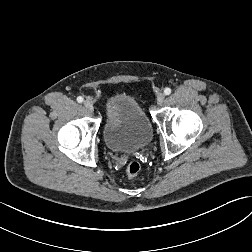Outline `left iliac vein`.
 <instances>
[{
  "label": "left iliac vein",
  "instance_id": "obj_1",
  "mask_svg": "<svg viewBox=\"0 0 252 252\" xmlns=\"http://www.w3.org/2000/svg\"><path fill=\"white\" fill-rule=\"evenodd\" d=\"M164 99H165V95H164L163 93H159V94L157 95V103H158L159 105H161V104L164 102Z\"/></svg>",
  "mask_w": 252,
  "mask_h": 252
}]
</instances>
